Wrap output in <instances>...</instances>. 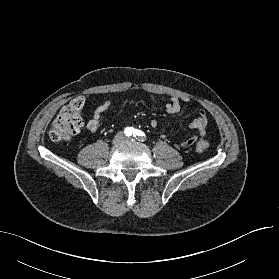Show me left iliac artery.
Listing matches in <instances>:
<instances>
[{
    "label": "left iliac artery",
    "instance_id": "1",
    "mask_svg": "<svg viewBox=\"0 0 279 279\" xmlns=\"http://www.w3.org/2000/svg\"><path fill=\"white\" fill-rule=\"evenodd\" d=\"M133 136L136 138H143V136H145V134L141 130L134 129Z\"/></svg>",
    "mask_w": 279,
    "mask_h": 279
}]
</instances>
